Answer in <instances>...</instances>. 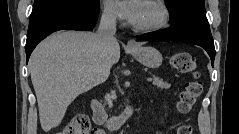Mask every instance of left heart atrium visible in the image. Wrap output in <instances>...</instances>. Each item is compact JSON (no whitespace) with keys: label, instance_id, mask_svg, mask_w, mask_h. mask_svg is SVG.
Listing matches in <instances>:
<instances>
[{"label":"left heart atrium","instance_id":"left-heart-atrium-1","mask_svg":"<svg viewBox=\"0 0 239 134\" xmlns=\"http://www.w3.org/2000/svg\"><path fill=\"white\" fill-rule=\"evenodd\" d=\"M116 8L120 16L130 24H136L140 12L142 1L140 0H123L115 1Z\"/></svg>","mask_w":239,"mask_h":134}]
</instances>
